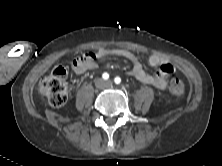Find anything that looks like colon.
Here are the masks:
<instances>
[{
    "label": "colon",
    "mask_w": 222,
    "mask_h": 166,
    "mask_svg": "<svg viewBox=\"0 0 222 166\" xmlns=\"http://www.w3.org/2000/svg\"><path fill=\"white\" fill-rule=\"evenodd\" d=\"M186 84L178 78L173 79L170 82V93L180 98L186 92ZM39 91L44 95L49 103L54 107H60L64 105L68 97V73L64 67H56L46 77H44L39 83Z\"/></svg>",
    "instance_id": "1"
}]
</instances>
